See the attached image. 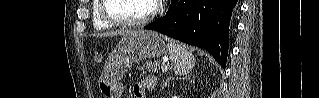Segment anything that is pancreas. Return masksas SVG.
<instances>
[{
	"label": "pancreas",
	"instance_id": "cf45deb5",
	"mask_svg": "<svg viewBox=\"0 0 319 98\" xmlns=\"http://www.w3.org/2000/svg\"><path fill=\"white\" fill-rule=\"evenodd\" d=\"M139 69L143 70L144 73L150 72L155 74L158 73L160 70L158 62L151 60L143 62Z\"/></svg>",
	"mask_w": 319,
	"mask_h": 98
}]
</instances>
